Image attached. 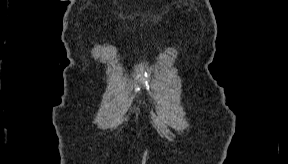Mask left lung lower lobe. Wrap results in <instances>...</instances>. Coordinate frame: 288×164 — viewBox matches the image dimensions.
Here are the masks:
<instances>
[{
  "label": "left lung lower lobe",
  "mask_w": 288,
  "mask_h": 164,
  "mask_svg": "<svg viewBox=\"0 0 288 164\" xmlns=\"http://www.w3.org/2000/svg\"><path fill=\"white\" fill-rule=\"evenodd\" d=\"M252 77L256 78L257 77V73H252Z\"/></svg>",
  "instance_id": "0a47b994"
}]
</instances>
